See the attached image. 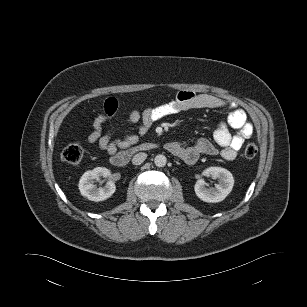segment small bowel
Listing matches in <instances>:
<instances>
[{"mask_svg":"<svg viewBox=\"0 0 307 307\" xmlns=\"http://www.w3.org/2000/svg\"><path fill=\"white\" fill-rule=\"evenodd\" d=\"M190 109H225L228 111V116L226 122L218 124L212 140L201 138L193 144L170 142L166 145L168 151L180 157L187 164L195 163L201 156L218 153L224 159L232 161L236 158L244 141L253 134V126L247 120L246 113L234 102L207 93L180 91L170 102L148 107L142 111L136 109L130 111L125 121L128 124L137 125V133H125L121 138L113 137V128L104 131V124L118 110L116 99H106L102 113L97 115L92 122V130L87 141L97 145L112 157L119 149H127L136 144L155 122ZM231 130H235V133H232Z\"/></svg>","mask_w":307,"mask_h":307,"instance_id":"1","label":"small bowel"}]
</instances>
